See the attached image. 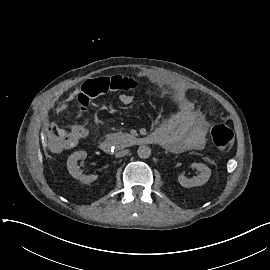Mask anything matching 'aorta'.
<instances>
[{
	"mask_svg": "<svg viewBox=\"0 0 270 270\" xmlns=\"http://www.w3.org/2000/svg\"><path fill=\"white\" fill-rule=\"evenodd\" d=\"M137 154L140 158L143 159L149 158L151 155V148L146 145H142L138 148Z\"/></svg>",
	"mask_w": 270,
	"mask_h": 270,
	"instance_id": "1",
	"label": "aorta"
}]
</instances>
